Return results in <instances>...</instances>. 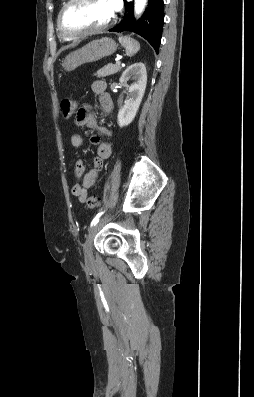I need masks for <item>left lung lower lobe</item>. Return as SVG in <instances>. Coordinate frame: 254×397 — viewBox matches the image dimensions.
Returning <instances> with one entry per match:
<instances>
[{
	"label": "left lung lower lobe",
	"mask_w": 254,
	"mask_h": 397,
	"mask_svg": "<svg viewBox=\"0 0 254 397\" xmlns=\"http://www.w3.org/2000/svg\"><path fill=\"white\" fill-rule=\"evenodd\" d=\"M125 15L123 20L109 31H131L144 37L158 53L162 28L164 23L163 0H149L148 7L142 17L135 22L133 15V3L125 0Z\"/></svg>",
	"instance_id": "left-lung-lower-lobe-1"
}]
</instances>
